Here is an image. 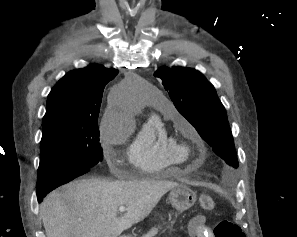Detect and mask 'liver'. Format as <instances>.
<instances>
[{
	"label": "liver",
	"instance_id": "6515ba94",
	"mask_svg": "<svg viewBox=\"0 0 297 237\" xmlns=\"http://www.w3.org/2000/svg\"><path fill=\"white\" fill-rule=\"evenodd\" d=\"M177 182L165 180L72 182L51 192L40 213L47 237H118L144 220ZM126 213L117 217L118 208Z\"/></svg>",
	"mask_w": 297,
	"mask_h": 237
}]
</instances>
